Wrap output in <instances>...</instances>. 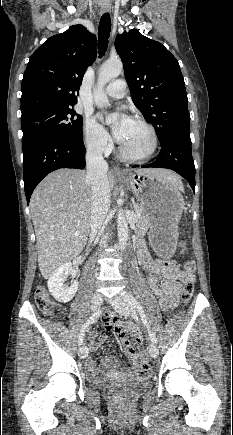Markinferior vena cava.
<instances>
[{"label": "inferior vena cava", "mask_w": 233, "mask_h": 435, "mask_svg": "<svg viewBox=\"0 0 233 435\" xmlns=\"http://www.w3.org/2000/svg\"><path fill=\"white\" fill-rule=\"evenodd\" d=\"M86 179L91 182V236L104 225L110 207V186L107 179L108 164L102 156V148L95 147L86 154ZM107 235L103 236L101 244H106Z\"/></svg>", "instance_id": "inferior-vena-cava-1"}]
</instances>
